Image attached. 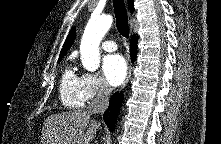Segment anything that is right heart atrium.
I'll use <instances>...</instances> for the list:
<instances>
[{
	"instance_id": "1",
	"label": "right heart atrium",
	"mask_w": 221,
	"mask_h": 144,
	"mask_svg": "<svg viewBox=\"0 0 221 144\" xmlns=\"http://www.w3.org/2000/svg\"><path fill=\"white\" fill-rule=\"evenodd\" d=\"M109 93V88L103 79L92 73L82 76V95L85 101L92 102L104 98Z\"/></svg>"
}]
</instances>
